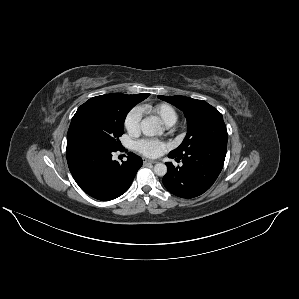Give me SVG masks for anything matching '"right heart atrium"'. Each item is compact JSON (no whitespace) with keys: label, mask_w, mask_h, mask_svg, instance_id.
Listing matches in <instances>:
<instances>
[{"label":"right heart atrium","mask_w":299,"mask_h":299,"mask_svg":"<svg viewBox=\"0 0 299 299\" xmlns=\"http://www.w3.org/2000/svg\"><path fill=\"white\" fill-rule=\"evenodd\" d=\"M142 120V110L140 108L132 109L125 118V128L131 135H136L140 130Z\"/></svg>","instance_id":"right-heart-atrium-1"}]
</instances>
